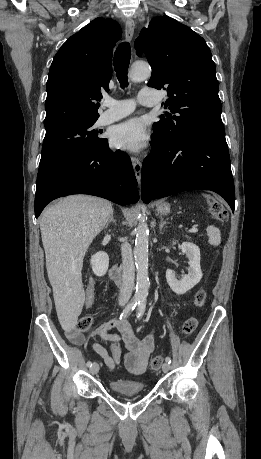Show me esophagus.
Segmentation results:
<instances>
[{"label": "esophagus", "mask_w": 261, "mask_h": 459, "mask_svg": "<svg viewBox=\"0 0 261 459\" xmlns=\"http://www.w3.org/2000/svg\"><path fill=\"white\" fill-rule=\"evenodd\" d=\"M134 29H135L134 21L132 19H127L125 21V39H126L127 42H131V40L133 38V34H134ZM131 161H132L135 177H136L138 183H140L141 169H142L141 161L136 157H132Z\"/></svg>", "instance_id": "esophagus-1"}]
</instances>
